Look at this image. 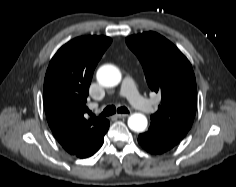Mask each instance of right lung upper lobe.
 <instances>
[{
  "label": "right lung upper lobe",
  "mask_w": 236,
  "mask_h": 187,
  "mask_svg": "<svg viewBox=\"0 0 236 187\" xmlns=\"http://www.w3.org/2000/svg\"><path fill=\"white\" fill-rule=\"evenodd\" d=\"M112 40L77 37L63 45L46 71L43 98L46 118L55 138L71 155L86 158L103 144L109 121L86 119L85 102L94 69Z\"/></svg>",
  "instance_id": "cb5924a9"
}]
</instances>
